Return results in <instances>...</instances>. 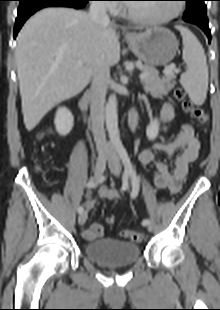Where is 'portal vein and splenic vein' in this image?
<instances>
[{"instance_id": "18ae733b", "label": "portal vein and splenic vein", "mask_w": 220, "mask_h": 310, "mask_svg": "<svg viewBox=\"0 0 220 310\" xmlns=\"http://www.w3.org/2000/svg\"><path fill=\"white\" fill-rule=\"evenodd\" d=\"M171 71H178L176 70V66L175 64H171L170 66H168L166 69H165V72L168 73V72H171ZM147 78V74L146 73H141L140 74V80H144Z\"/></svg>"}]
</instances>
